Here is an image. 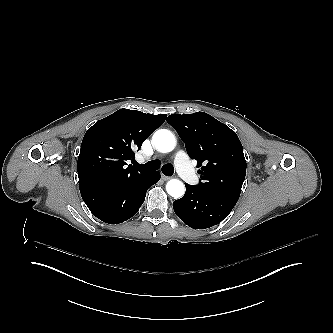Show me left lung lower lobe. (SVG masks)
I'll return each mask as SVG.
<instances>
[{
    "instance_id": "0a47b994",
    "label": "left lung lower lobe",
    "mask_w": 333,
    "mask_h": 333,
    "mask_svg": "<svg viewBox=\"0 0 333 333\" xmlns=\"http://www.w3.org/2000/svg\"><path fill=\"white\" fill-rule=\"evenodd\" d=\"M185 195L173 202L177 216L193 229H205L219 224L237 203V197L203 191L185 183Z\"/></svg>"
}]
</instances>
